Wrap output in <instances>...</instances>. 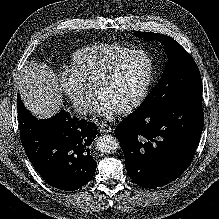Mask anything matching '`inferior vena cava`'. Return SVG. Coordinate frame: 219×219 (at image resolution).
<instances>
[{"label": "inferior vena cava", "instance_id": "obj_1", "mask_svg": "<svg viewBox=\"0 0 219 219\" xmlns=\"http://www.w3.org/2000/svg\"><path fill=\"white\" fill-rule=\"evenodd\" d=\"M91 106L87 102H81L77 104L76 111L81 115H86L91 111Z\"/></svg>", "mask_w": 219, "mask_h": 219}]
</instances>
